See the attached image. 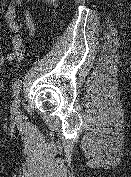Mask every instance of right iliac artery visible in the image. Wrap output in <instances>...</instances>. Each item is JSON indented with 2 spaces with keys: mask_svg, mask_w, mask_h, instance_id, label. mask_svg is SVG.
Wrapping results in <instances>:
<instances>
[{
  "mask_svg": "<svg viewBox=\"0 0 131 177\" xmlns=\"http://www.w3.org/2000/svg\"><path fill=\"white\" fill-rule=\"evenodd\" d=\"M21 85H22V81L21 80H17L15 82L14 88H13V93H14V97L17 98V96L19 95L20 89H21Z\"/></svg>",
  "mask_w": 131,
  "mask_h": 177,
  "instance_id": "82829eb1",
  "label": "right iliac artery"
}]
</instances>
